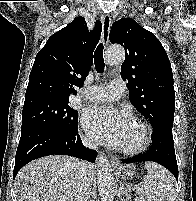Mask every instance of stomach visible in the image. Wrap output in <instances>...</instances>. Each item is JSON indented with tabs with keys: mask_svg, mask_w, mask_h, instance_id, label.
Returning a JSON list of instances; mask_svg holds the SVG:
<instances>
[{
	"mask_svg": "<svg viewBox=\"0 0 196 201\" xmlns=\"http://www.w3.org/2000/svg\"><path fill=\"white\" fill-rule=\"evenodd\" d=\"M122 173L125 177H133L135 175V169L132 167H123Z\"/></svg>",
	"mask_w": 196,
	"mask_h": 201,
	"instance_id": "obj_1",
	"label": "stomach"
}]
</instances>
